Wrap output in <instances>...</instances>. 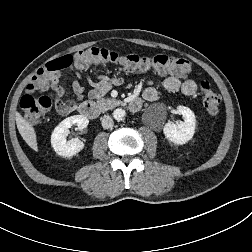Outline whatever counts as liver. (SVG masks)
I'll return each instance as SVG.
<instances>
[{"mask_svg": "<svg viewBox=\"0 0 252 252\" xmlns=\"http://www.w3.org/2000/svg\"><path fill=\"white\" fill-rule=\"evenodd\" d=\"M16 124L18 131L24 141L33 150L38 151L36 132L33 126L27 122L19 113L16 114Z\"/></svg>", "mask_w": 252, "mask_h": 252, "instance_id": "1", "label": "liver"}]
</instances>
